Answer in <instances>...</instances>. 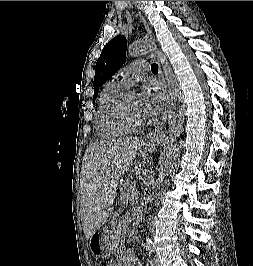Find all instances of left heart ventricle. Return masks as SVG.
<instances>
[{
    "label": "left heart ventricle",
    "mask_w": 253,
    "mask_h": 266,
    "mask_svg": "<svg viewBox=\"0 0 253 266\" xmlns=\"http://www.w3.org/2000/svg\"><path fill=\"white\" fill-rule=\"evenodd\" d=\"M127 110L129 114L135 119H142L143 115L140 111L139 106V96L135 92H130L127 102H126Z\"/></svg>",
    "instance_id": "obj_1"
}]
</instances>
